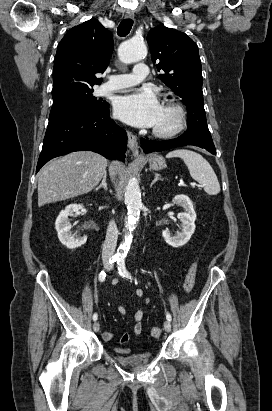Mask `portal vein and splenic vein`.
Returning <instances> with one entry per match:
<instances>
[{
    "label": "portal vein and splenic vein",
    "instance_id": "portal-vein-and-splenic-vein-1",
    "mask_svg": "<svg viewBox=\"0 0 272 411\" xmlns=\"http://www.w3.org/2000/svg\"><path fill=\"white\" fill-rule=\"evenodd\" d=\"M190 185H196V183L192 182V183H190Z\"/></svg>",
    "mask_w": 272,
    "mask_h": 411
}]
</instances>
